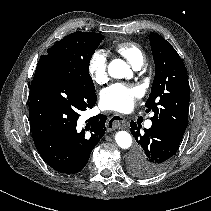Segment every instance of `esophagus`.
<instances>
[{"mask_svg": "<svg viewBox=\"0 0 211 211\" xmlns=\"http://www.w3.org/2000/svg\"><path fill=\"white\" fill-rule=\"evenodd\" d=\"M125 124L126 120L121 115L114 114L108 119L106 127L109 131H112L115 129L123 128Z\"/></svg>", "mask_w": 211, "mask_h": 211, "instance_id": "obj_1", "label": "esophagus"}]
</instances>
